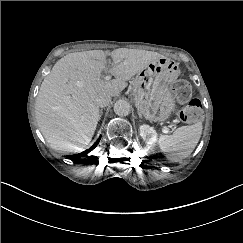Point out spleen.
<instances>
[{"instance_id": "1", "label": "spleen", "mask_w": 243, "mask_h": 243, "mask_svg": "<svg viewBox=\"0 0 243 243\" xmlns=\"http://www.w3.org/2000/svg\"><path fill=\"white\" fill-rule=\"evenodd\" d=\"M202 123L181 126L172 135H160L158 145L168 158L184 159L188 157L201 137Z\"/></svg>"}]
</instances>
